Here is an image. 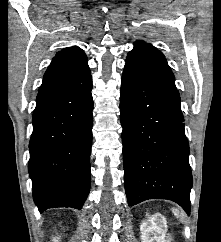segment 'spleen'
<instances>
[{"label": "spleen", "instance_id": "3e777b00", "mask_svg": "<svg viewBox=\"0 0 221 242\" xmlns=\"http://www.w3.org/2000/svg\"><path fill=\"white\" fill-rule=\"evenodd\" d=\"M172 212L177 218H180L183 222V214L179 211V209L173 208Z\"/></svg>", "mask_w": 221, "mask_h": 242}]
</instances>
